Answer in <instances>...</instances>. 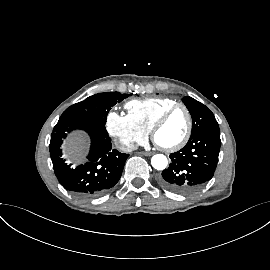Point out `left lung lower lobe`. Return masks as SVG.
Instances as JSON below:
<instances>
[{
	"label": "left lung lower lobe",
	"instance_id": "0a47b994",
	"mask_svg": "<svg viewBox=\"0 0 270 270\" xmlns=\"http://www.w3.org/2000/svg\"><path fill=\"white\" fill-rule=\"evenodd\" d=\"M220 146V132H202L190 138L184 148L170 154L171 163L162 172L160 183L178 194L196 192L213 177Z\"/></svg>",
	"mask_w": 270,
	"mask_h": 270
}]
</instances>
